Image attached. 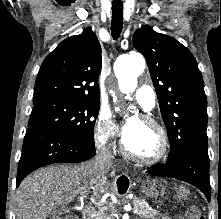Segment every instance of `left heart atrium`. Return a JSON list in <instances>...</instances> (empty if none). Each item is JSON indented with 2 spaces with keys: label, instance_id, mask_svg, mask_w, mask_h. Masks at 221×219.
<instances>
[{
  "label": "left heart atrium",
  "instance_id": "39dd6f15",
  "mask_svg": "<svg viewBox=\"0 0 221 219\" xmlns=\"http://www.w3.org/2000/svg\"><path fill=\"white\" fill-rule=\"evenodd\" d=\"M132 130V124L131 123H126L122 126L121 128V135L125 139L131 132Z\"/></svg>",
  "mask_w": 221,
  "mask_h": 219
}]
</instances>
